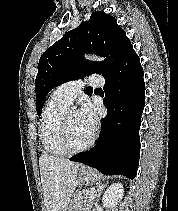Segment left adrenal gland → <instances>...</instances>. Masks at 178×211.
Segmentation results:
<instances>
[{
	"instance_id": "obj_1",
	"label": "left adrenal gland",
	"mask_w": 178,
	"mask_h": 211,
	"mask_svg": "<svg viewBox=\"0 0 178 211\" xmlns=\"http://www.w3.org/2000/svg\"><path fill=\"white\" fill-rule=\"evenodd\" d=\"M106 184L107 183H104V184L99 183L97 185V189H96V203L99 201V198H100V196L102 194V191L105 188Z\"/></svg>"
}]
</instances>
